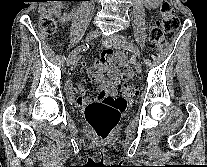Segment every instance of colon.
I'll list each match as a JSON object with an SVG mask.
<instances>
[{
	"label": "colon",
	"mask_w": 207,
	"mask_h": 167,
	"mask_svg": "<svg viewBox=\"0 0 207 167\" xmlns=\"http://www.w3.org/2000/svg\"><path fill=\"white\" fill-rule=\"evenodd\" d=\"M39 15L40 29L48 35L54 34L58 26L51 7L47 4L43 5ZM160 17L161 21L153 23L149 33L151 46L158 50L163 49L167 44L165 34L171 35L179 26V18L167 0H164L160 6ZM117 59L119 62L126 61L123 54H120ZM136 95L137 86L132 82H124L120 86L117 97H103L86 108V121L99 139L105 140L109 136L119 122L120 113L127 107V99Z\"/></svg>",
	"instance_id": "colon-1"
}]
</instances>
